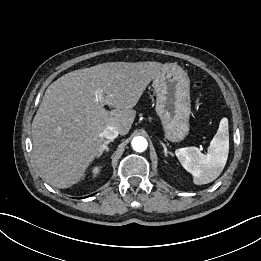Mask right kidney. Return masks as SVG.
<instances>
[{
	"label": "right kidney",
	"instance_id": "obj_1",
	"mask_svg": "<svg viewBox=\"0 0 261 261\" xmlns=\"http://www.w3.org/2000/svg\"><path fill=\"white\" fill-rule=\"evenodd\" d=\"M97 170H98V168H95V169L93 170V172H94V173H96V172H97Z\"/></svg>",
	"mask_w": 261,
	"mask_h": 261
}]
</instances>
